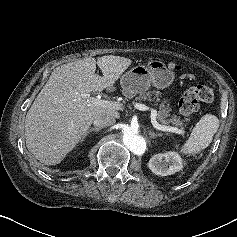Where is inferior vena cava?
Returning <instances> with one entry per match:
<instances>
[{
  "label": "inferior vena cava",
  "mask_w": 237,
  "mask_h": 237,
  "mask_svg": "<svg viewBox=\"0 0 237 237\" xmlns=\"http://www.w3.org/2000/svg\"><path fill=\"white\" fill-rule=\"evenodd\" d=\"M115 122V117L111 115H101L94 120L93 124L96 127H108L115 124Z\"/></svg>",
  "instance_id": "1"
}]
</instances>
